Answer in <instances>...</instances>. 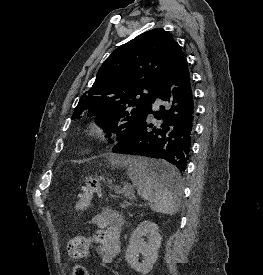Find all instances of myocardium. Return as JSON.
<instances>
[{
    "instance_id": "myocardium-1",
    "label": "myocardium",
    "mask_w": 263,
    "mask_h": 275,
    "mask_svg": "<svg viewBox=\"0 0 263 275\" xmlns=\"http://www.w3.org/2000/svg\"><path fill=\"white\" fill-rule=\"evenodd\" d=\"M91 131L93 133V135L96 137V138H99V139H104L105 136H106V131H105V128L98 124V123H92L91 126Z\"/></svg>"
}]
</instances>
